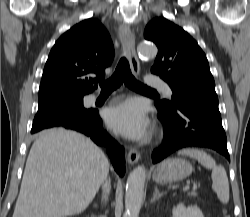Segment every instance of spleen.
I'll use <instances>...</instances> for the list:
<instances>
[{
    "instance_id": "1",
    "label": "spleen",
    "mask_w": 250,
    "mask_h": 217,
    "mask_svg": "<svg viewBox=\"0 0 250 217\" xmlns=\"http://www.w3.org/2000/svg\"><path fill=\"white\" fill-rule=\"evenodd\" d=\"M178 154L194 158L205 168L211 169L212 189L216 192L218 199L223 204H227L229 202V182L226 170L223 166L217 165L215 160L203 150L187 148L180 150Z\"/></svg>"
}]
</instances>
